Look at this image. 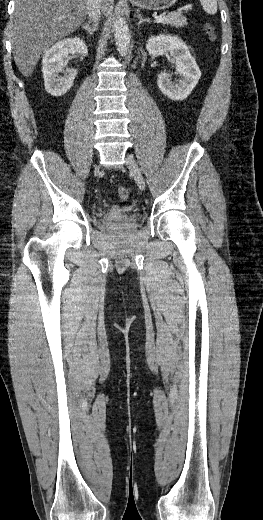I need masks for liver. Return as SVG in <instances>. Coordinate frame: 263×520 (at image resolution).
Masks as SVG:
<instances>
[{"mask_svg":"<svg viewBox=\"0 0 263 520\" xmlns=\"http://www.w3.org/2000/svg\"><path fill=\"white\" fill-rule=\"evenodd\" d=\"M113 0H102L108 15ZM87 0H15L11 29L14 61L25 77L56 41L74 32L87 15Z\"/></svg>","mask_w":263,"mask_h":520,"instance_id":"1","label":"liver"}]
</instances>
